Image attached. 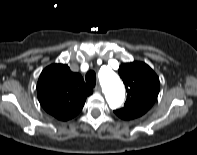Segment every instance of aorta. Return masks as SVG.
Listing matches in <instances>:
<instances>
[{
  "label": "aorta",
  "instance_id": "aorta-1",
  "mask_svg": "<svg viewBox=\"0 0 197 155\" xmlns=\"http://www.w3.org/2000/svg\"><path fill=\"white\" fill-rule=\"evenodd\" d=\"M99 81L109 106L112 109L119 107L125 96L124 85L119 76L111 68L104 67L99 71Z\"/></svg>",
  "mask_w": 197,
  "mask_h": 155
}]
</instances>
